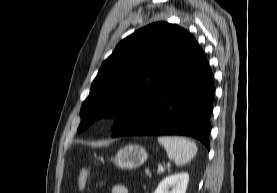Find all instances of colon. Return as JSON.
<instances>
[{"mask_svg": "<svg viewBox=\"0 0 277 193\" xmlns=\"http://www.w3.org/2000/svg\"><path fill=\"white\" fill-rule=\"evenodd\" d=\"M90 178V171L87 169L81 170L79 177H78V189L83 190L88 183Z\"/></svg>", "mask_w": 277, "mask_h": 193, "instance_id": "5ec220e1", "label": "colon"}]
</instances>
